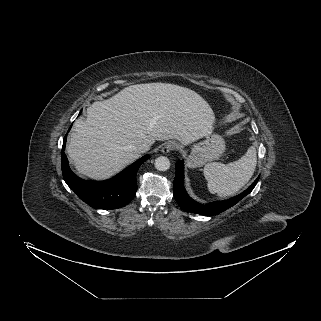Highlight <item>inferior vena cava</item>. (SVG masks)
I'll return each instance as SVG.
<instances>
[{
	"label": "inferior vena cava",
	"instance_id": "1",
	"mask_svg": "<svg viewBox=\"0 0 321 321\" xmlns=\"http://www.w3.org/2000/svg\"><path fill=\"white\" fill-rule=\"evenodd\" d=\"M149 149H150V146L147 143L139 144L135 148V150L140 154L147 152Z\"/></svg>",
	"mask_w": 321,
	"mask_h": 321
}]
</instances>
